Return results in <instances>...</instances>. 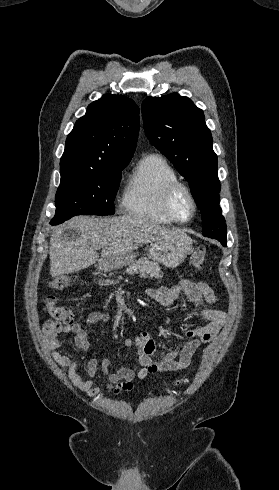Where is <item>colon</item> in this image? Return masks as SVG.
Here are the masks:
<instances>
[{
    "instance_id": "colon-1",
    "label": "colon",
    "mask_w": 279,
    "mask_h": 490,
    "mask_svg": "<svg viewBox=\"0 0 279 490\" xmlns=\"http://www.w3.org/2000/svg\"><path fill=\"white\" fill-rule=\"evenodd\" d=\"M206 248L204 245H198L194 252L191 254L189 263L196 270H202L206 263ZM66 284V279L62 278L55 280L52 284V288L59 290ZM45 306L49 317L56 322L71 323L74 321L75 313L73 310L68 309L57 302V298L53 295H48L45 298ZM186 382V379L180 378L175 382L176 386H182Z\"/></svg>"
}]
</instances>
